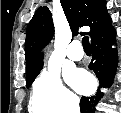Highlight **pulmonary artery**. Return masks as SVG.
<instances>
[{
  "mask_svg": "<svg viewBox=\"0 0 121 113\" xmlns=\"http://www.w3.org/2000/svg\"><path fill=\"white\" fill-rule=\"evenodd\" d=\"M67 57L72 61H79L83 58V51L78 41H73L67 48Z\"/></svg>",
  "mask_w": 121,
  "mask_h": 113,
  "instance_id": "pulmonary-artery-1",
  "label": "pulmonary artery"
}]
</instances>
